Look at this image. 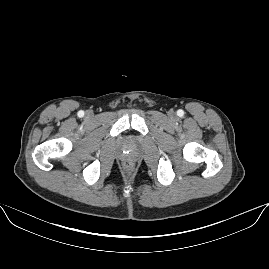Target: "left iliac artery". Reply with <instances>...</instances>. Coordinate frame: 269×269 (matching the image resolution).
Wrapping results in <instances>:
<instances>
[{"mask_svg": "<svg viewBox=\"0 0 269 269\" xmlns=\"http://www.w3.org/2000/svg\"><path fill=\"white\" fill-rule=\"evenodd\" d=\"M177 115L182 117L184 115V111L183 110H178Z\"/></svg>", "mask_w": 269, "mask_h": 269, "instance_id": "left-iliac-artery-1", "label": "left iliac artery"}]
</instances>
